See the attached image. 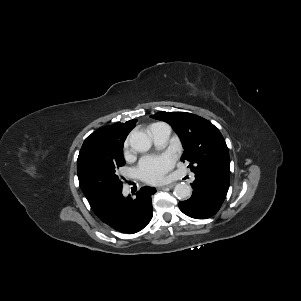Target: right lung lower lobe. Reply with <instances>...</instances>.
Masks as SVG:
<instances>
[{
	"mask_svg": "<svg viewBox=\"0 0 301 301\" xmlns=\"http://www.w3.org/2000/svg\"><path fill=\"white\" fill-rule=\"evenodd\" d=\"M153 187H142L136 198L124 197L118 193L98 214L101 221L122 233L133 234L142 230L152 218L151 196Z\"/></svg>",
	"mask_w": 301,
	"mask_h": 301,
	"instance_id": "1",
	"label": "right lung lower lobe"
}]
</instances>
